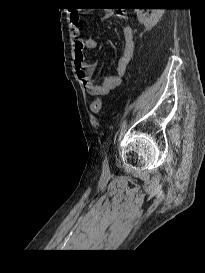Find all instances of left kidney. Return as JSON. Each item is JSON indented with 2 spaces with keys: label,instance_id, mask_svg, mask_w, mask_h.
Here are the masks:
<instances>
[{
  "label": "left kidney",
  "instance_id": "1",
  "mask_svg": "<svg viewBox=\"0 0 205 273\" xmlns=\"http://www.w3.org/2000/svg\"><path fill=\"white\" fill-rule=\"evenodd\" d=\"M165 9H151V14L146 15L144 9H135L138 21L147 29L154 27L164 14Z\"/></svg>",
  "mask_w": 205,
  "mask_h": 273
}]
</instances>
